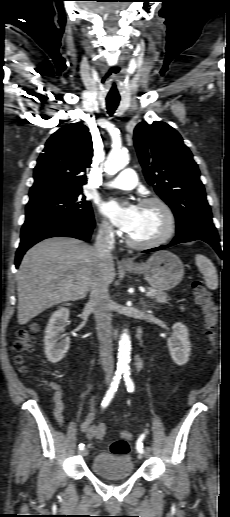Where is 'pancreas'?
Wrapping results in <instances>:
<instances>
[{
	"instance_id": "cf45deb5",
	"label": "pancreas",
	"mask_w": 230,
	"mask_h": 517,
	"mask_svg": "<svg viewBox=\"0 0 230 517\" xmlns=\"http://www.w3.org/2000/svg\"><path fill=\"white\" fill-rule=\"evenodd\" d=\"M149 291H154V295L152 296L154 299H156L157 302L159 303H167L169 299L168 297V294L161 291V290H157V289H154V288H148Z\"/></svg>"
}]
</instances>
